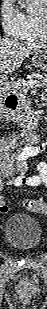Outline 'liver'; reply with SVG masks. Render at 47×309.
Returning <instances> with one entry per match:
<instances>
[{"mask_svg":"<svg viewBox=\"0 0 47 309\" xmlns=\"http://www.w3.org/2000/svg\"><path fill=\"white\" fill-rule=\"evenodd\" d=\"M39 48H42V45L0 38V71L2 73L16 71L22 62Z\"/></svg>","mask_w":47,"mask_h":309,"instance_id":"obj_1","label":"liver"}]
</instances>
